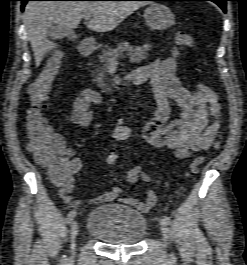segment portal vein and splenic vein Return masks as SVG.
Wrapping results in <instances>:
<instances>
[{"mask_svg": "<svg viewBox=\"0 0 247 265\" xmlns=\"http://www.w3.org/2000/svg\"><path fill=\"white\" fill-rule=\"evenodd\" d=\"M84 19H85V20H89V19H90V15L84 16ZM111 62H112V63H117L116 58H113V59L111 60Z\"/></svg>", "mask_w": 247, "mask_h": 265, "instance_id": "portal-vein-and-splenic-vein-1", "label": "portal vein and splenic vein"}]
</instances>
